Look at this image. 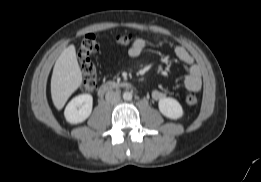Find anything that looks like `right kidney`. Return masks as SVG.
<instances>
[{"instance_id":"obj_1","label":"right kidney","mask_w":261,"mask_h":182,"mask_svg":"<svg viewBox=\"0 0 261 182\" xmlns=\"http://www.w3.org/2000/svg\"><path fill=\"white\" fill-rule=\"evenodd\" d=\"M93 97L81 94L74 97L66 106L64 116L67 122L78 124L85 121L92 112Z\"/></svg>"}]
</instances>
